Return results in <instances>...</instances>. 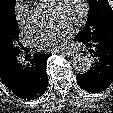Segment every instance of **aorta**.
<instances>
[{"instance_id": "aorta-1", "label": "aorta", "mask_w": 113, "mask_h": 113, "mask_svg": "<svg viewBox=\"0 0 113 113\" xmlns=\"http://www.w3.org/2000/svg\"><path fill=\"white\" fill-rule=\"evenodd\" d=\"M35 18L43 23L49 19V14L46 10L42 8H38L34 11ZM94 62V59L90 54H84V53H78L73 57V67L76 71L80 73H86L88 72L92 64Z\"/></svg>"}]
</instances>
